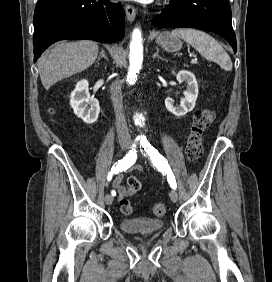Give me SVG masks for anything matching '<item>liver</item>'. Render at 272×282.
Here are the masks:
<instances>
[{"label":"liver","mask_w":272,"mask_h":282,"mask_svg":"<svg viewBox=\"0 0 272 282\" xmlns=\"http://www.w3.org/2000/svg\"><path fill=\"white\" fill-rule=\"evenodd\" d=\"M98 55V44L83 40L60 42L43 53L38 62L42 85L48 90L58 81L84 71Z\"/></svg>","instance_id":"obj_1"}]
</instances>
